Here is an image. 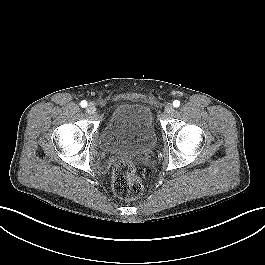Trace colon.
Here are the masks:
<instances>
[{
    "label": "colon",
    "mask_w": 265,
    "mask_h": 265,
    "mask_svg": "<svg viewBox=\"0 0 265 265\" xmlns=\"http://www.w3.org/2000/svg\"><path fill=\"white\" fill-rule=\"evenodd\" d=\"M112 189L122 199H135L143 193V181L136 165L129 160L116 163L112 171Z\"/></svg>",
    "instance_id": "colon-1"
}]
</instances>
